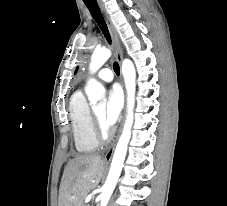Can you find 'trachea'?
I'll return each instance as SVG.
<instances>
[{
  "label": "trachea",
  "instance_id": "1",
  "mask_svg": "<svg viewBox=\"0 0 227 206\" xmlns=\"http://www.w3.org/2000/svg\"><path fill=\"white\" fill-rule=\"evenodd\" d=\"M85 5L87 6V8L89 9L92 17L94 18V20L96 21V23L98 24V26L100 27L101 31L103 32L106 40L108 41L109 44H111V37L106 25V22L99 10L98 4L96 2V0H87L85 2ZM113 69L114 72L119 75L120 73V67L119 64L117 62H114L113 64Z\"/></svg>",
  "mask_w": 227,
  "mask_h": 206
}]
</instances>
